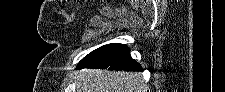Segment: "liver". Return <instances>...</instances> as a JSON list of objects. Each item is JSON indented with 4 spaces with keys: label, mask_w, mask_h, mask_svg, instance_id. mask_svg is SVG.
Returning a JSON list of instances; mask_svg holds the SVG:
<instances>
[{
    "label": "liver",
    "mask_w": 225,
    "mask_h": 92,
    "mask_svg": "<svg viewBox=\"0 0 225 92\" xmlns=\"http://www.w3.org/2000/svg\"><path fill=\"white\" fill-rule=\"evenodd\" d=\"M76 84L77 92H147L148 90L140 73L99 69L81 70Z\"/></svg>",
    "instance_id": "obj_1"
}]
</instances>
